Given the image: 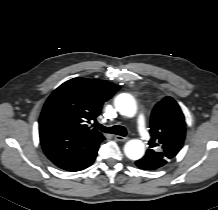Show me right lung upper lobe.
<instances>
[{"label": "right lung upper lobe", "instance_id": "right-lung-upper-lobe-1", "mask_svg": "<svg viewBox=\"0 0 218 210\" xmlns=\"http://www.w3.org/2000/svg\"><path fill=\"white\" fill-rule=\"evenodd\" d=\"M119 86L105 80L73 78L59 86L47 99L44 108L56 111L62 118V131L78 135H102L89 123L101 112Z\"/></svg>", "mask_w": 218, "mask_h": 210}]
</instances>
